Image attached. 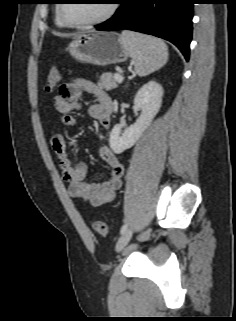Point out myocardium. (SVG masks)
<instances>
[{"mask_svg": "<svg viewBox=\"0 0 236 321\" xmlns=\"http://www.w3.org/2000/svg\"><path fill=\"white\" fill-rule=\"evenodd\" d=\"M65 4L66 3H64V2L59 4L58 9H57L58 15L65 25L70 26V27H74V28H87V27L100 25V24L108 21L110 18H112L118 8L117 1L111 0V1H109V7H108L107 12L102 17H100L96 20L88 21V22H73V21H70L65 16V13H64Z\"/></svg>", "mask_w": 236, "mask_h": 321, "instance_id": "f54148a6", "label": "myocardium"}]
</instances>
